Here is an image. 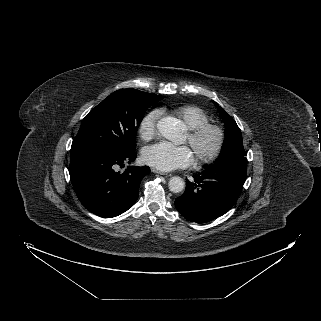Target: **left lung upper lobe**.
Masks as SVG:
<instances>
[{"instance_id": "5c2ea615", "label": "left lung upper lobe", "mask_w": 321, "mask_h": 321, "mask_svg": "<svg viewBox=\"0 0 321 321\" xmlns=\"http://www.w3.org/2000/svg\"><path fill=\"white\" fill-rule=\"evenodd\" d=\"M214 104L217 107L226 128L225 140L218 162L238 158L246 159V152L243 147L242 134L238 125L236 124L235 120L224 111L222 107H220L216 102H214Z\"/></svg>"}]
</instances>
